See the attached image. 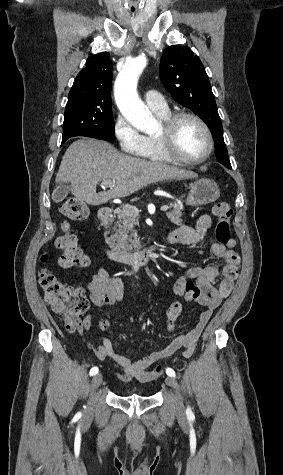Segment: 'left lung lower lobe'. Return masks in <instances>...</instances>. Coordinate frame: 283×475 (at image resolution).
I'll return each mask as SVG.
<instances>
[{
	"instance_id": "1",
	"label": "left lung lower lobe",
	"mask_w": 283,
	"mask_h": 475,
	"mask_svg": "<svg viewBox=\"0 0 283 475\" xmlns=\"http://www.w3.org/2000/svg\"><path fill=\"white\" fill-rule=\"evenodd\" d=\"M212 135L215 142V152H216L217 160L221 164L226 166L227 168H231V164L228 157V151L224 143L223 134L219 135V134L214 133Z\"/></svg>"
}]
</instances>
